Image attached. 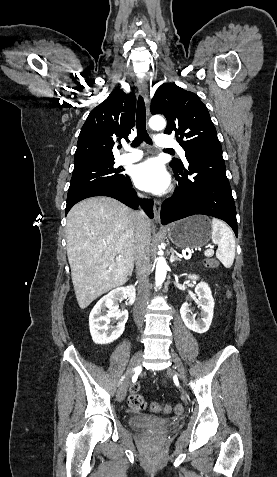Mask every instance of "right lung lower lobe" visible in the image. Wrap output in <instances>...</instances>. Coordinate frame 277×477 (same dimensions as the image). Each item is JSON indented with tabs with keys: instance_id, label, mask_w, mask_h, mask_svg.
<instances>
[{
	"instance_id": "98d812e1",
	"label": "right lung lower lobe",
	"mask_w": 277,
	"mask_h": 477,
	"mask_svg": "<svg viewBox=\"0 0 277 477\" xmlns=\"http://www.w3.org/2000/svg\"><path fill=\"white\" fill-rule=\"evenodd\" d=\"M94 196H108L119 200L127 206L138 209L139 202L146 214L153 218V201L151 199L139 200L135 190L132 188L131 180L128 177L127 181L122 184L101 183L87 187L71 197L67 198V205L65 214L69 212L73 205L77 202Z\"/></svg>"
}]
</instances>
